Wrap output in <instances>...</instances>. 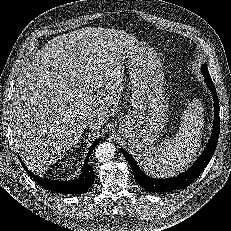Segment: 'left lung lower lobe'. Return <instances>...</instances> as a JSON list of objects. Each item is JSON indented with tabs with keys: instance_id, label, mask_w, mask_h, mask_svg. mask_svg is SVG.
<instances>
[{
	"instance_id": "1",
	"label": "left lung lower lobe",
	"mask_w": 231,
	"mask_h": 231,
	"mask_svg": "<svg viewBox=\"0 0 231 231\" xmlns=\"http://www.w3.org/2000/svg\"><path fill=\"white\" fill-rule=\"evenodd\" d=\"M204 78L208 88L210 89L213 95L214 104H215L213 130L207 147L204 149L203 153L200 155V157H198L195 163L186 172H184L183 174L177 177L168 178V179L151 178L147 176L138 167L134 158L128 152H126L124 149L121 148L124 157L129 162L133 170L135 180L145 190L159 193V192H170V191H175L185 188L188 185H190L201 174V172L204 170V168L208 165L209 161L211 160L217 146L219 131H220L219 101L211 77L204 76Z\"/></svg>"
}]
</instances>
